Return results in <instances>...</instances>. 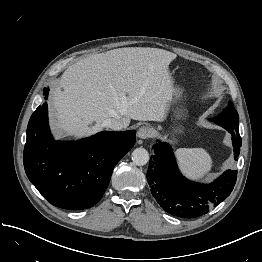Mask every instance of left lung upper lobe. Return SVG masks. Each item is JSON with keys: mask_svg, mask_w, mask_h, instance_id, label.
Masks as SVG:
<instances>
[{"mask_svg": "<svg viewBox=\"0 0 262 262\" xmlns=\"http://www.w3.org/2000/svg\"><path fill=\"white\" fill-rule=\"evenodd\" d=\"M213 121L224 128L239 129V116L232 102H229V106L214 118Z\"/></svg>", "mask_w": 262, "mask_h": 262, "instance_id": "obj_1", "label": "left lung upper lobe"}]
</instances>
